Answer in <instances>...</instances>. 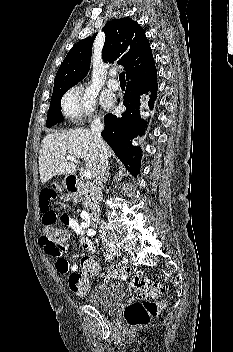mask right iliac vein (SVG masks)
<instances>
[{
    "label": "right iliac vein",
    "instance_id": "1",
    "mask_svg": "<svg viewBox=\"0 0 233 352\" xmlns=\"http://www.w3.org/2000/svg\"><path fill=\"white\" fill-rule=\"evenodd\" d=\"M117 249H118V248H117L116 246H112V247H110V248L108 249V252H109L110 254H114Z\"/></svg>",
    "mask_w": 233,
    "mask_h": 352
}]
</instances>
